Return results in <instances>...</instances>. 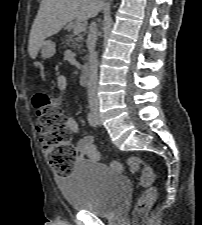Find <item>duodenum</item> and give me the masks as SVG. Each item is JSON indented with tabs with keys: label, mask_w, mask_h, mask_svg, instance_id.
<instances>
[{
	"label": "duodenum",
	"mask_w": 202,
	"mask_h": 225,
	"mask_svg": "<svg viewBox=\"0 0 202 225\" xmlns=\"http://www.w3.org/2000/svg\"><path fill=\"white\" fill-rule=\"evenodd\" d=\"M81 80L84 84H88L90 81V69L87 64L83 65L81 69Z\"/></svg>",
	"instance_id": "duodenum-1"
}]
</instances>
